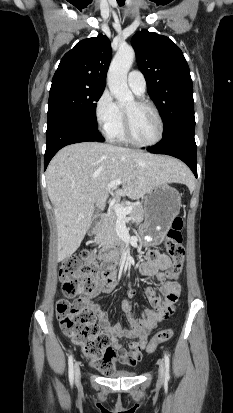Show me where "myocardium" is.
Here are the masks:
<instances>
[{
	"label": "myocardium",
	"instance_id": "1",
	"mask_svg": "<svg viewBox=\"0 0 233 413\" xmlns=\"http://www.w3.org/2000/svg\"><path fill=\"white\" fill-rule=\"evenodd\" d=\"M135 103H136L137 106L150 108L154 112V114L157 117L158 123H159V132H158L157 138L154 141L149 142V143L139 142L133 136L130 115L124 110V112H123V114H124V132H125L126 140L130 144H132L136 147H141V148L153 147V146L159 144L162 141L163 137H164L165 124H164L163 117H162L159 109L152 102L147 101V100H143V99H138V100L135 101Z\"/></svg>",
	"mask_w": 233,
	"mask_h": 413
}]
</instances>
